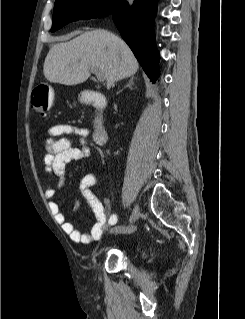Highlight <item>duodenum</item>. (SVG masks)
Returning a JSON list of instances; mask_svg holds the SVG:
<instances>
[{
    "mask_svg": "<svg viewBox=\"0 0 245 319\" xmlns=\"http://www.w3.org/2000/svg\"><path fill=\"white\" fill-rule=\"evenodd\" d=\"M83 103L91 105L98 111H102L106 106V98L104 95L96 90L87 91L83 95ZM93 140L96 145L102 146L107 141V129L105 126L104 118L98 114L93 119Z\"/></svg>",
    "mask_w": 245,
    "mask_h": 319,
    "instance_id": "duodenum-1",
    "label": "duodenum"
}]
</instances>
